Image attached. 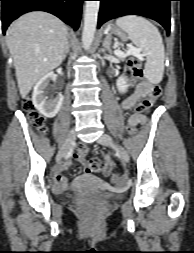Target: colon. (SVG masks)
Segmentation results:
<instances>
[{
    "label": "colon",
    "mask_w": 194,
    "mask_h": 253,
    "mask_svg": "<svg viewBox=\"0 0 194 253\" xmlns=\"http://www.w3.org/2000/svg\"><path fill=\"white\" fill-rule=\"evenodd\" d=\"M128 66L133 72L136 78H142L143 69L140 60L137 57H132L128 60ZM160 88L155 86L151 92V94L141 100L135 107L136 114H144L147 112L155 103L160 95ZM23 107L25 111L28 113V118L30 123L41 133H45L47 128L45 125L44 117L34 110L33 103L30 98H27L23 102ZM128 130L131 134L136 132V127L128 124ZM87 148L84 145H81L78 148L76 153V158L82 162L88 172L91 173H99L103 171L104 166L102 161L98 158H93L90 160H86ZM110 179L113 183H119L122 180V175L120 173H113L110 176Z\"/></svg>",
    "instance_id": "colon-1"
}]
</instances>
